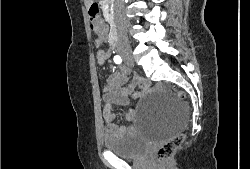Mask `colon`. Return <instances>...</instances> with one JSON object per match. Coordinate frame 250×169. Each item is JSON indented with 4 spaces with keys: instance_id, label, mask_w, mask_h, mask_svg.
I'll return each mask as SVG.
<instances>
[{
    "instance_id": "1",
    "label": "colon",
    "mask_w": 250,
    "mask_h": 169,
    "mask_svg": "<svg viewBox=\"0 0 250 169\" xmlns=\"http://www.w3.org/2000/svg\"><path fill=\"white\" fill-rule=\"evenodd\" d=\"M89 21L91 29L95 33H100L103 30L102 20L100 18L99 8L91 6L88 11ZM178 97H183V101H188L187 92H182V88H177ZM184 139L186 134H173L171 138H166L159 145V150H156V160H159V166L162 169H174L175 165L170 161V157L175 155V150H181V146L184 145Z\"/></svg>"
}]
</instances>
